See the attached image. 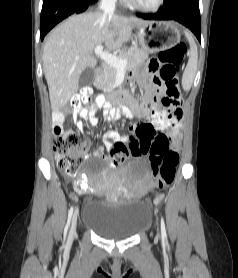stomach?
<instances>
[{
	"label": "stomach",
	"mask_w": 238,
	"mask_h": 278,
	"mask_svg": "<svg viewBox=\"0 0 238 278\" xmlns=\"http://www.w3.org/2000/svg\"><path fill=\"white\" fill-rule=\"evenodd\" d=\"M137 30L139 43L148 53L172 48L180 41V32L171 22L151 21Z\"/></svg>",
	"instance_id": "stomach-1"
}]
</instances>
